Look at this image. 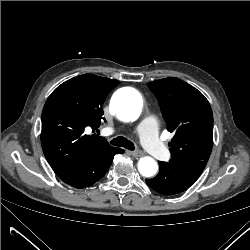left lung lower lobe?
I'll use <instances>...</instances> for the list:
<instances>
[{"instance_id": "0a47b994", "label": "left lung lower lobe", "mask_w": 250, "mask_h": 250, "mask_svg": "<svg viewBox=\"0 0 250 250\" xmlns=\"http://www.w3.org/2000/svg\"><path fill=\"white\" fill-rule=\"evenodd\" d=\"M160 172L146 183L164 195H173L188 189L200 176L206 164L201 161L185 163L158 162Z\"/></svg>"}]
</instances>
